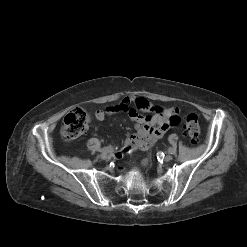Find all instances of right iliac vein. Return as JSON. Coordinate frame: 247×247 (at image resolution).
<instances>
[{"instance_id": "1", "label": "right iliac vein", "mask_w": 247, "mask_h": 247, "mask_svg": "<svg viewBox=\"0 0 247 247\" xmlns=\"http://www.w3.org/2000/svg\"><path fill=\"white\" fill-rule=\"evenodd\" d=\"M100 156H101V158L103 160H108L109 159V154L108 153H102Z\"/></svg>"}]
</instances>
